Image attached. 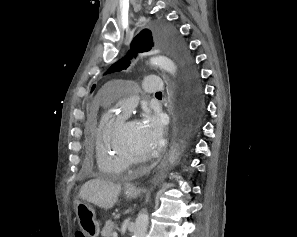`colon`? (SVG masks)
<instances>
[{
	"instance_id": "5ec220e1",
	"label": "colon",
	"mask_w": 297,
	"mask_h": 237,
	"mask_svg": "<svg viewBox=\"0 0 297 237\" xmlns=\"http://www.w3.org/2000/svg\"><path fill=\"white\" fill-rule=\"evenodd\" d=\"M75 237H86L82 232H77Z\"/></svg>"
}]
</instances>
